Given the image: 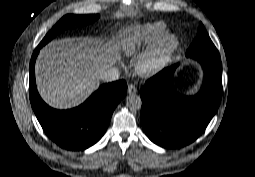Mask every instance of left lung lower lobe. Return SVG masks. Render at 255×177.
<instances>
[{"mask_svg": "<svg viewBox=\"0 0 255 177\" xmlns=\"http://www.w3.org/2000/svg\"><path fill=\"white\" fill-rule=\"evenodd\" d=\"M203 67L204 82L195 97L183 98L173 87L177 65L149 79L141 89V123L151 141L165 148L193 142L216 113L222 92V67L219 54L192 56Z\"/></svg>", "mask_w": 255, "mask_h": 177, "instance_id": "0a47b994", "label": "left lung lower lobe"}]
</instances>
